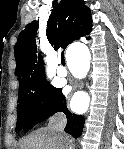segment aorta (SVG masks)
Wrapping results in <instances>:
<instances>
[{
  "mask_svg": "<svg viewBox=\"0 0 124 149\" xmlns=\"http://www.w3.org/2000/svg\"><path fill=\"white\" fill-rule=\"evenodd\" d=\"M76 57L81 59L84 64V68L87 69L90 64V53L85 46H79L76 52Z\"/></svg>",
  "mask_w": 124,
  "mask_h": 149,
  "instance_id": "1",
  "label": "aorta"
}]
</instances>
